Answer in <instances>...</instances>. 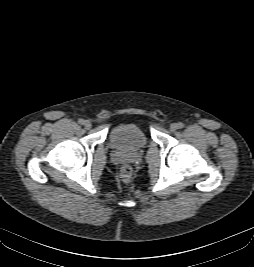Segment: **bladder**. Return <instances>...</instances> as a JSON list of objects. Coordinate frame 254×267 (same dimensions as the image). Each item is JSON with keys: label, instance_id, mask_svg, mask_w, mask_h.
I'll return each mask as SVG.
<instances>
[{"label": "bladder", "instance_id": "bladder-1", "mask_svg": "<svg viewBox=\"0 0 254 267\" xmlns=\"http://www.w3.org/2000/svg\"><path fill=\"white\" fill-rule=\"evenodd\" d=\"M145 132L135 123H122L113 127L109 133L110 145L119 151L135 152L146 147Z\"/></svg>", "mask_w": 254, "mask_h": 267}]
</instances>
